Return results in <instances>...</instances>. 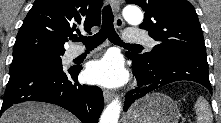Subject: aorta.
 <instances>
[{
  "mask_svg": "<svg viewBox=\"0 0 221 123\" xmlns=\"http://www.w3.org/2000/svg\"><path fill=\"white\" fill-rule=\"evenodd\" d=\"M124 19L132 25H139L143 21V13L136 6H127L123 9ZM121 111V103L118 98L114 99L103 111L100 123H118Z\"/></svg>",
  "mask_w": 221,
  "mask_h": 123,
  "instance_id": "762f6f07",
  "label": "aorta"
}]
</instances>
